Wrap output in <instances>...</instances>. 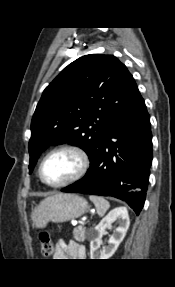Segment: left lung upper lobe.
<instances>
[{"label": "left lung upper lobe", "mask_w": 175, "mask_h": 287, "mask_svg": "<svg viewBox=\"0 0 175 287\" xmlns=\"http://www.w3.org/2000/svg\"><path fill=\"white\" fill-rule=\"evenodd\" d=\"M138 93L133 76L113 55L89 54L69 64L46 87L34 112L29 172L46 148L63 143L82 148L91 165L107 130Z\"/></svg>", "instance_id": "left-lung-upper-lobe-1"}]
</instances>
